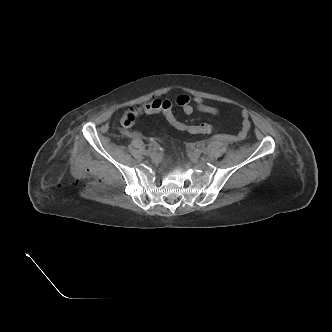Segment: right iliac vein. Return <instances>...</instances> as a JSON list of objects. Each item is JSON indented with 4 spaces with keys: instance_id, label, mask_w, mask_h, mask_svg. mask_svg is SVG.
<instances>
[{
    "instance_id": "right-iliac-vein-1",
    "label": "right iliac vein",
    "mask_w": 332,
    "mask_h": 332,
    "mask_svg": "<svg viewBox=\"0 0 332 332\" xmlns=\"http://www.w3.org/2000/svg\"><path fill=\"white\" fill-rule=\"evenodd\" d=\"M146 154L151 157H154L156 155V151L152 149V150L147 151Z\"/></svg>"
}]
</instances>
